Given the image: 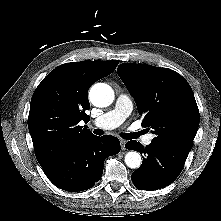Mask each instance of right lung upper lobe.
Masks as SVG:
<instances>
[{"mask_svg": "<svg viewBox=\"0 0 221 221\" xmlns=\"http://www.w3.org/2000/svg\"><path fill=\"white\" fill-rule=\"evenodd\" d=\"M118 61H81L60 65L36 88L30 104L28 129L41 167L93 136L78 123L89 121L87 92L111 74Z\"/></svg>", "mask_w": 221, "mask_h": 221, "instance_id": "1", "label": "right lung upper lobe"}]
</instances>
